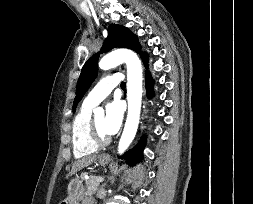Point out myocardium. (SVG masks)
<instances>
[{
	"instance_id": "myocardium-1",
	"label": "myocardium",
	"mask_w": 253,
	"mask_h": 204,
	"mask_svg": "<svg viewBox=\"0 0 253 204\" xmlns=\"http://www.w3.org/2000/svg\"><path fill=\"white\" fill-rule=\"evenodd\" d=\"M90 130H91V137L98 146L107 145L111 141L109 135H103L102 133H100L95 124L94 119H91Z\"/></svg>"
}]
</instances>
